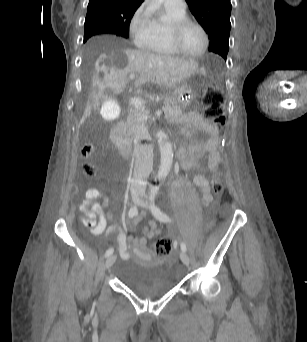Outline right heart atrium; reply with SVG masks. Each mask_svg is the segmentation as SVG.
I'll list each match as a JSON object with an SVG mask.
<instances>
[{"label":"right heart atrium","instance_id":"right-heart-atrium-1","mask_svg":"<svg viewBox=\"0 0 307 342\" xmlns=\"http://www.w3.org/2000/svg\"><path fill=\"white\" fill-rule=\"evenodd\" d=\"M156 24L143 7L137 9L128 22V37L135 45L144 43L154 35Z\"/></svg>","mask_w":307,"mask_h":342}]
</instances>
